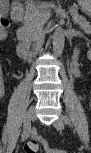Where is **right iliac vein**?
<instances>
[{
	"instance_id": "1",
	"label": "right iliac vein",
	"mask_w": 91,
	"mask_h": 153,
	"mask_svg": "<svg viewBox=\"0 0 91 153\" xmlns=\"http://www.w3.org/2000/svg\"><path fill=\"white\" fill-rule=\"evenodd\" d=\"M34 119H35V107L31 106L26 112L24 118V128L29 130L31 128V123L34 121Z\"/></svg>"
}]
</instances>
